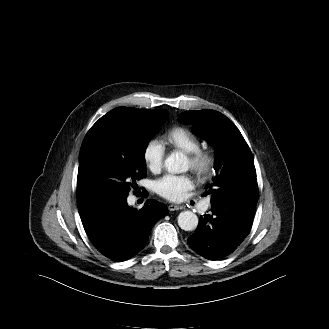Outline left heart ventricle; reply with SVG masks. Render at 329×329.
I'll use <instances>...</instances> for the list:
<instances>
[{
  "label": "left heart ventricle",
  "mask_w": 329,
  "mask_h": 329,
  "mask_svg": "<svg viewBox=\"0 0 329 329\" xmlns=\"http://www.w3.org/2000/svg\"><path fill=\"white\" fill-rule=\"evenodd\" d=\"M186 166H187V168L191 167V163H190L189 159H187Z\"/></svg>",
  "instance_id": "b2bd125f"
}]
</instances>
